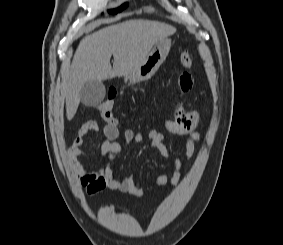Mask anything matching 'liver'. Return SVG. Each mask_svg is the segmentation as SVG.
<instances>
[{"instance_id": "obj_1", "label": "liver", "mask_w": 283, "mask_h": 245, "mask_svg": "<svg viewBox=\"0 0 283 245\" xmlns=\"http://www.w3.org/2000/svg\"><path fill=\"white\" fill-rule=\"evenodd\" d=\"M174 33L175 28L165 23L134 19L85 36L64 79L67 119L71 120L77 111L84 83L127 75L145 60L158 41Z\"/></svg>"}]
</instances>
